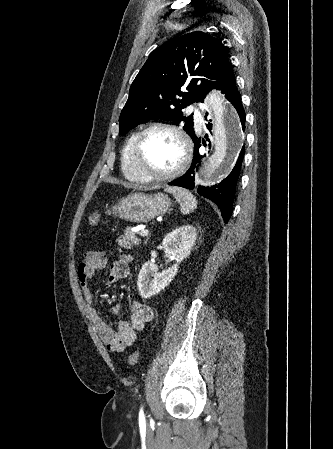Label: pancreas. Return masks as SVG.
Masks as SVG:
<instances>
[{
	"label": "pancreas",
	"instance_id": "pancreas-1",
	"mask_svg": "<svg viewBox=\"0 0 333 449\" xmlns=\"http://www.w3.org/2000/svg\"><path fill=\"white\" fill-rule=\"evenodd\" d=\"M117 242L121 247L131 249L134 245L140 243V239L137 238L136 233L132 232L130 228H126L124 230V235L120 236L117 239Z\"/></svg>",
	"mask_w": 333,
	"mask_h": 449
}]
</instances>
